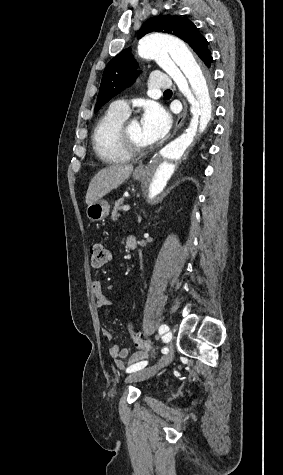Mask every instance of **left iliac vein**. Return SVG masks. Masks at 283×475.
Masks as SVG:
<instances>
[{"instance_id":"left-iliac-vein-1","label":"left iliac vein","mask_w":283,"mask_h":475,"mask_svg":"<svg viewBox=\"0 0 283 475\" xmlns=\"http://www.w3.org/2000/svg\"><path fill=\"white\" fill-rule=\"evenodd\" d=\"M171 337H172V332L168 331L165 335V338L167 340H170ZM172 358H173V349L172 347H169L167 354L163 355L156 365L142 369L133 374H130L129 376L126 377L125 382L131 383L135 381H144L151 378L152 376L155 375L157 371H159L162 367L166 366L172 360Z\"/></svg>"}]
</instances>
